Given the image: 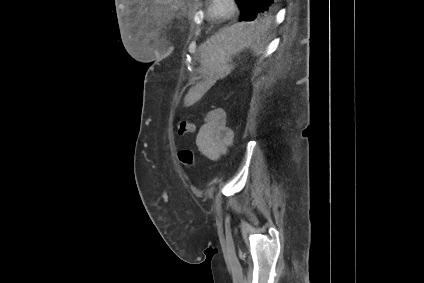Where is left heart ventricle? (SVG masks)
Segmentation results:
<instances>
[{"label": "left heart ventricle", "instance_id": "b2bd125f", "mask_svg": "<svg viewBox=\"0 0 424 283\" xmlns=\"http://www.w3.org/2000/svg\"><path fill=\"white\" fill-rule=\"evenodd\" d=\"M223 9H224L223 7L219 8L220 11H223Z\"/></svg>", "mask_w": 424, "mask_h": 283}]
</instances>
